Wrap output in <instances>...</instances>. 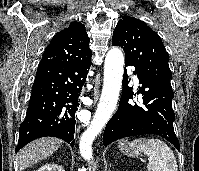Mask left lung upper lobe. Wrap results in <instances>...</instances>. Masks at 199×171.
Here are the masks:
<instances>
[{"instance_id": "obj_1", "label": "left lung upper lobe", "mask_w": 199, "mask_h": 171, "mask_svg": "<svg viewBox=\"0 0 199 171\" xmlns=\"http://www.w3.org/2000/svg\"><path fill=\"white\" fill-rule=\"evenodd\" d=\"M112 43L123 48L126 63L172 89L169 56L159 35L143 21L123 16L113 32Z\"/></svg>"}]
</instances>
